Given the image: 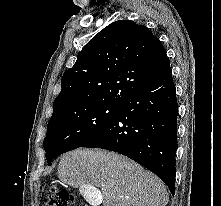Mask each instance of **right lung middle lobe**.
Here are the masks:
<instances>
[{"label":"right lung middle lobe","instance_id":"obj_1","mask_svg":"<svg viewBox=\"0 0 221 206\" xmlns=\"http://www.w3.org/2000/svg\"><path fill=\"white\" fill-rule=\"evenodd\" d=\"M120 105L92 103L53 114L44 139L46 160L81 147L105 128L118 114Z\"/></svg>","mask_w":221,"mask_h":206}]
</instances>
